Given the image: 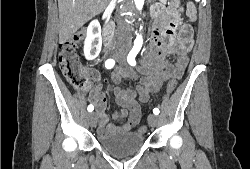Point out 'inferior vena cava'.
<instances>
[{"label":"inferior vena cava","mask_w":250,"mask_h":169,"mask_svg":"<svg viewBox=\"0 0 250 169\" xmlns=\"http://www.w3.org/2000/svg\"><path fill=\"white\" fill-rule=\"evenodd\" d=\"M123 2H125V0H123ZM118 24H119V28H120V30H122V32H123V30H127V24H126V20H124V18H123V20H118Z\"/></svg>","instance_id":"602c4592"}]
</instances>
